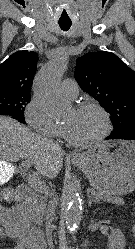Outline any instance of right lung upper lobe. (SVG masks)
<instances>
[{
	"label": "right lung upper lobe",
	"mask_w": 135,
	"mask_h": 249,
	"mask_svg": "<svg viewBox=\"0 0 135 249\" xmlns=\"http://www.w3.org/2000/svg\"><path fill=\"white\" fill-rule=\"evenodd\" d=\"M38 54L18 51L0 64V92L29 93L36 72Z\"/></svg>",
	"instance_id": "obj_1"
}]
</instances>
